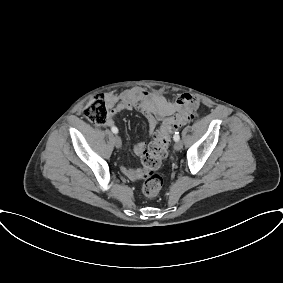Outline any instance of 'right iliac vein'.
<instances>
[{
	"instance_id": "1",
	"label": "right iliac vein",
	"mask_w": 283,
	"mask_h": 283,
	"mask_svg": "<svg viewBox=\"0 0 283 283\" xmlns=\"http://www.w3.org/2000/svg\"><path fill=\"white\" fill-rule=\"evenodd\" d=\"M113 142H114V145L116 146V148H120L121 145H122L121 138L118 135H115L113 137Z\"/></svg>"
}]
</instances>
